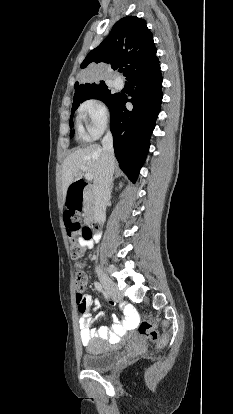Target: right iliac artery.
I'll use <instances>...</instances> for the list:
<instances>
[{
  "label": "right iliac artery",
  "mask_w": 233,
  "mask_h": 414,
  "mask_svg": "<svg viewBox=\"0 0 233 414\" xmlns=\"http://www.w3.org/2000/svg\"><path fill=\"white\" fill-rule=\"evenodd\" d=\"M94 285H95V288L98 290V292L105 294L103 286L99 282H94Z\"/></svg>",
  "instance_id": "right-iliac-artery-1"
}]
</instances>
